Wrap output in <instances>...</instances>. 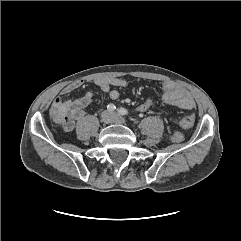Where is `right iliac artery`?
<instances>
[{"mask_svg":"<svg viewBox=\"0 0 241 241\" xmlns=\"http://www.w3.org/2000/svg\"><path fill=\"white\" fill-rule=\"evenodd\" d=\"M107 109L112 112V111H114L116 109V106L114 104H109L107 106Z\"/></svg>","mask_w":241,"mask_h":241,"instance_id":"82829eb1","label":"right iliac artery"}]
</instances>
